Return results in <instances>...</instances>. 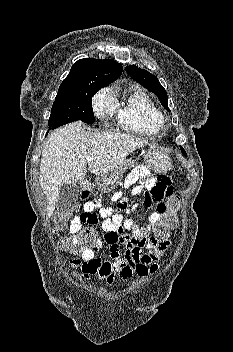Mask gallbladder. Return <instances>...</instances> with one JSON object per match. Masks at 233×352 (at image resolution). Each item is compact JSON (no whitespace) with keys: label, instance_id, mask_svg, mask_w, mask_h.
<instances>
[{"label":"gallbladder","instance_id":"bac80fb5","mask_svg":"<svg viewBox=\"0 0 233 352\" xmlns=\"http://www.w3.org/2000/svg\"><path fill=\"white\" fill-rule=\"evenodd\" d=\"M79 192V186L75 183L63 185L59 190L57 211L61 213L72 211L78 200Z\"/></svg>","mask_w":233,"mask_h":352}]
</instances>
